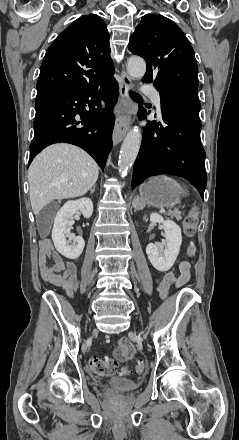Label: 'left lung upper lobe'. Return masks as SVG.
Instances as JSON below:
<instances>
[{
	"label": "left lung upper lobe",
	"mask_w": 239,
	"mask_h": 440,
	"mask_svg": "<svg viewBox=\"0 0 239 440\" xmlns=\"http://www.w3.org/2000/svg\"><path fill=\"white\" fill-rule=\"evenodd\" d=\"M128 49L146 61L143 82H153L159 89H198L194 50L183 31L170 19L157 14L144 15Z\"/></svg>",
	"instance_id": "left-lung-upper-lobe-1"
}]
</instances>
